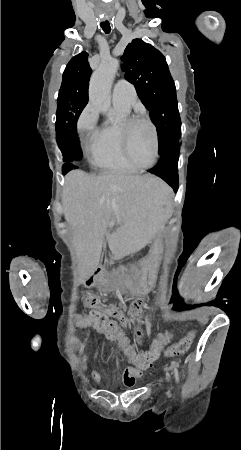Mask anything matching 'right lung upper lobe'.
<instances>
[{
	"instance_id": "right-lung-upper-lobe-1",
	"label": "right lung upper lobe",
	"mask_w": 241,
	"mask_h": 450,
	"mask_svg": "<svg viewBox=\"0 0 241 450\" xmlns=\"http://www.w3.org/2000/svg\"><path fill=\"white\" fill-rule=\"evenodd\" d=\"M92 70L88 63V53L82 52L73 57L67 64L62 82L90 77Z\"/></svg>"
}]
</instances>
